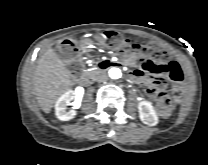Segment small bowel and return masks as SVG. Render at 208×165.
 Wrapping results in <instances>:
<instances>
[{"label": "small bowel", "instance_id": "c3829d8e", "mask_svg": "<svg viewBox=\"0 0 208 165\" xmlns=\"http://www.w3.org/2000/svg\"><path fill=\"white\" fill-rule=\"evenodd\" d=\"M144 58L145 54L142 51H134L124 55V61L128 66H135L140 62V69L132 73V79L147 86L146 93L150 98H157L163 92L162 85L165 79H169L177 87L183 86L188 81V72L181 62L175 60L154 61Z\"/></svg>", "mask_w": 208, "mask_h": 165}]
</instances>
